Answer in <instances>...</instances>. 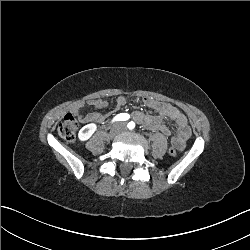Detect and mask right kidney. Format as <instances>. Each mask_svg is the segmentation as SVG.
Wrapping results in <instances>:
<instances>
[{
    "label": "right kidney",
    "mask_w": 250,
    "mask_h": 250,
    "mask_svg": "<svg viewBox=\"0 0 250 250\" xmlns=\"http://www.w3.org/2000/svg\"><path fill=\"white\" fill-rule=\"evenodd\" d=\"M97 126L94 123L87 124L84 127H82L78 133V137L81 141L88 140L93 133L96 131Z\"/></svg>",
    "instance_id": "obj_1"
}]
</instances>
